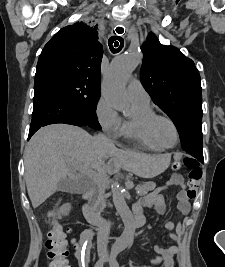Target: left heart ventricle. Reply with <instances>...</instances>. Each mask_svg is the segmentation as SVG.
Listing matches in <instances>:
<instances>
[{
  "label": "left heart ventricle",
  "mask_w": 225,
  "mask_h": 267,
  "mask_svg": "<svg viewBox=\"0 0 225 267\" xmlns=\"http://www.w3.org/2000/svg\"><path fill=\"white\" fill-rule=\"evenodd\" d=\"M157 137L161 144L166 146L174 145L176 142V133L173 126L165 121L161 120L156 126Z\"/></svg>",
  "instance_id": "obj_1"
}]
</instances>
